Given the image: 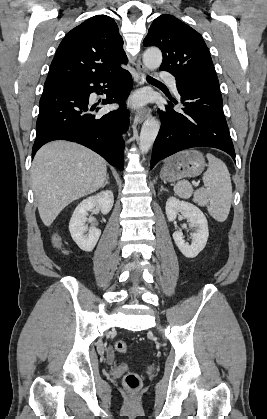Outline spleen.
I'll list each match as a JSON object with an SVG mask.
<instances>
[{"mask_svg":"<svg viewBox=\"0 0 267 419\" xmlns=\"http://www.w3.org/2000/svg\"><path fill=\"white\" fill-rule=\"evenodd\" d=\"M206 157L209 165L202 177L204 187L194 191L188 181L182 180L174 186V192L183 199L193 195L194 201L207 206L208 213L216 221L224 222L229 215L232 202L230 173L222 160L210 153Z\"/></svg>","mask_w":267,"mask_h":419,"instance_id":"spleen-1","label":"spleen"}]
</instances>
